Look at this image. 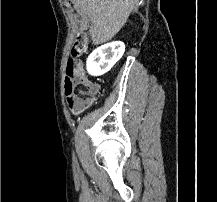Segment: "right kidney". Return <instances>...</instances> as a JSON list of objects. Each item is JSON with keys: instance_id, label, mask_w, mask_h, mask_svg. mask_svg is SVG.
<instances>
[{"instance_id": "obj_1", "label": "right kidney", "mask_w": 217, "mask_h": 202, "mask_svg": "<svg viewBox=\"0 0 217 202\" xmlns=\"http://www.w3.org/2000/svg\"><path fill=\"white\" fill-rule=\"evenodd\" d=\"M125 52L123 42H110L104 44L90 54L87 60V70L92 76H102L113 68L114 64L122 58Z\"/></svg>"}]
</instances>
